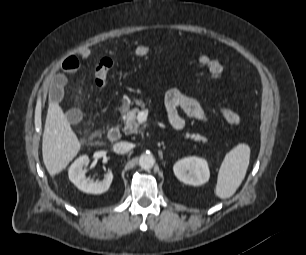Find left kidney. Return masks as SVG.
<instances>
[{
  "label": "left kidney",
  "instance_id": "1",
  "mask_svg": "<svg viewBox=\"0 0 306 255\" xmlns=\"http://www.w3.org/2000/svg\"><path fill=\"white\" fill-rule=\"evenodd\" d=\"M175 176L183 183L200 186L208 182L210 171L205 159L187 157L179 160L173 166Z\"/></svg>",
  "mask_w": 306,
  "mask_h": 255
}]
</instances>
